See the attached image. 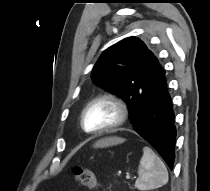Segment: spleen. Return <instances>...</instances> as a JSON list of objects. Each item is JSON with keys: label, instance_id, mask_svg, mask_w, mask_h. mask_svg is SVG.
<instances>
[{"label": "spleen", "instance_id": "1", "mask_svg": "<svg viewBox=\"0 0 210 191\" xmlns=\"http://www.w3.org/2000/svg\"><path fill=\"white\" fill-rule=\"evenodd\" d=\"M135 187L138 190H153L168 182V171L164 162L149 148H143Z\"/></svg>", "mask_w": 210, "mask_h": 191}]
</instances>
